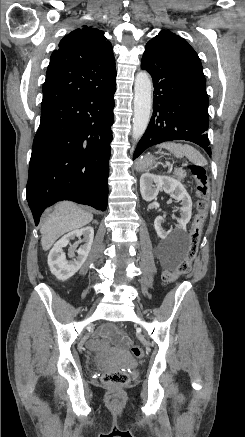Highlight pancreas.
Listing matches in <instances>:
<instances>
[{
  "mask_svg": "<svg viewBox=\"0 0 245 437\" xmlns=\"http://www.w3.org/2000/svg\"><path fill=\"white\" fill-rule=\"evenodd\" d=\"M186 176V172L182 169H176L174 172V177H176L179 181H183Z\"/></svg>",
  "mask_w": 245,
  "mask_h": 437,
  "instance_id": "cf45deb5",
  "label": "pancreas"
}]
</instances>
